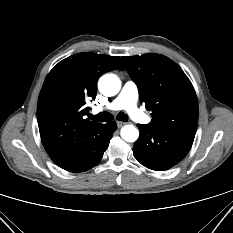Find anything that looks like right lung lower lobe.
I'll return each instance as SVG.
<instances>
[{"instance_id": "obj_1", "label": "right lung lower lobe", "mask_w": 233, "mask_h": 233, "mask_svg": "<svg viewBox=\"0 0 233 233\" xmlns=\"http://www.w3.org/2000/svg\"><path fill=\"white\" fill-rule=\"evenodd\" d=\"M117 125L114 121L108 122L107 124H103L102 131L100 132V136L96 141V152L93 157L89 160L88 163L83 166L77 168H69L65 169L71 172H83L91 169L96 164H98L103 157L104 151L107 149L110 139L112 138L113 132L116 130Z\"/></svg>"}]
</instances>
